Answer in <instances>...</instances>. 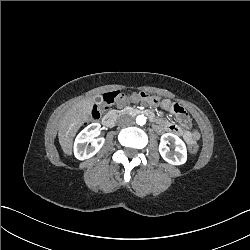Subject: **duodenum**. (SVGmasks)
<instances>
[{
    "mask_svg": "<svg viewBox=\"0 0 250 250\" xmlns=\"http://www.w3.org/2000/svg\"><path fill=\"white\" fill-rule=\"evenodd\" d=\"M145 112L146 111L142 109L132 110V114L134 115L145 114ZM114 121H115V113L111 111L104 116L102 124L107 128H111L114 125Z\"/></svg>",
    "mask_w": 250,
    "mask_h": 250,
    "instance_id": "obj_1",
    "label": "duodenum"
}]
</instances>
